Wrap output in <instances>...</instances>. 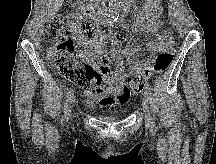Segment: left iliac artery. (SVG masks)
I'll use <instances>...</instances> for the list:
<instances>
[{
	"instance_id": "44dca946",
	"label": "left iliac artery",
	"mask_w": 216,
	"mask_h": 164,
	"mask_svg": "<svg viewBox=\"0 0 216 164\" xmlns=\"http://www.w3.org/2000/svg\"><path fill=\"white\" fill-rule=\"evenodd\" d=\"M151 88L148 86V87H146V94L149 96V99L150 100H152V92H151ZM153 130H156V124H155V122H154V120H153V122H152V127H151Z\"/></svg>"
}]
</instances>
